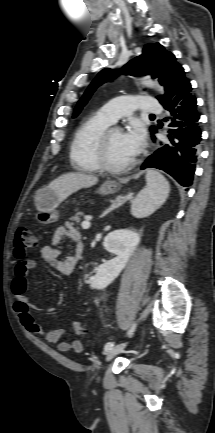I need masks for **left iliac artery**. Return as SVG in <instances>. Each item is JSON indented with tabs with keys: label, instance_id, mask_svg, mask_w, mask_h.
I'll return each mask as SVG.
<instances>
[{
	"label": "left iliac artery",
	"instance_id": "1",
	"mask_svg": "<svg viewBox=\"0 0 215 433\" xmlns=\"http://www.w3.org/2000/svg\"><path fill=\"white\" fill-rule=\"evenodd\" d=\"M135 326H136V325L133 324V326H132L131 329L129 330L128 334H131V333L134 331ZM113 346H114V343H113V342H109V343H107V344L104 346V350H105V351H108V350H110Z\"/></svg>",
	"mask_w": 215,
	"mask_h": 433
}]
</instances>
